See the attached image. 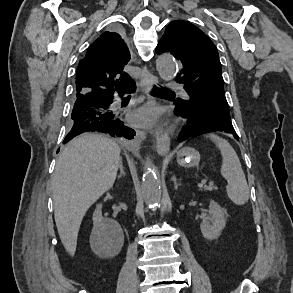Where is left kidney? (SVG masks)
Here are the masks:
<instances>
[{"mask_svg":"<svg viewBox=\"0 0 293 293\" xmlns=\"http://www.w3.org/2000/svg\"><path fill=\"white\" fill-rule=\"evenodd\" d=\"M226 226L225 210L214 200L210 201L208 216L200 224L203 236L215 240Z\"/></svg>","mask_w":293,"mask_h":293,"instance_id":"1","label":"left kidney"}]
</instances>
